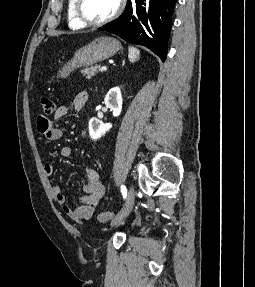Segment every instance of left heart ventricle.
Instances as JSON below:
<instances>
[{"mask_svg":"<svg viewBox=\"0 0 255 287\" xmlns=\"http://www.w3.org/2000/svg\"><path fill=\"white\" fill-rule=\"evenodd\" d=\"M94 33H111V32H94ZM98 39H108V38H98ZM102 48H121V47H102Z\"/></svg>","mask_w":255,"mask_h":287,"instance_id":"left-heart-ventricle-1","label":"left heart ventricle"}]
</instances>
